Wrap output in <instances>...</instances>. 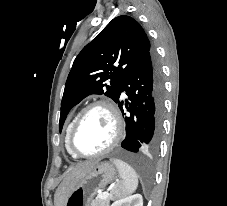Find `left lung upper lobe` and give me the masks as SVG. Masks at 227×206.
Listing matches in <instances>:
<instances>
[{
  "instance_id": "left-lung-upper-lobe-1",
  "label": "left lung upper lobe",
  "mask_w": 227,
  "mask_h": 206,
  "mask_svg": "<svg viewBox=\"0 0 227 206\" xmlns=\"http://www.w3.org/2000/svg\"><path fill=\"white\" fill-rule=\"evenodd\" d=\"M151 51L136 20L114 18L74 60L61 102L59 131L70 109L90 94H105L117 103L125 77Z\"/></svg>"
}]
</instances>
